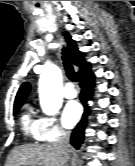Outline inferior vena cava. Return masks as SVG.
<instances>
[{
	"instance_id": "602c4592",
	"label": "inferior vena cava",
	"mask_w": 135,
	"mask_h": 166,
	"mask_svg": "<svg viewBox=\"0 0 135 166\" xmlns=\"http://www.w3.org/2000/svg\"><path fill=\"white\" fill-rule=\"evenodd\" d=\"M70 135L67 132H62L57 140V143L63 153H67L69 148Z\"/></svg>"
}]
</instances>
